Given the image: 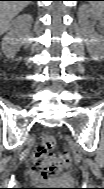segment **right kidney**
Instances as JSON below:
<instances>
[{
    "mask_svg": "<svg viewBox=\"0 0 104 189\" xmlns=\"http://www.w3.org/2000/svg\"><path fill=\"white\" fill-rule=\"evenodd\" d=\"M30 15H23L15 20L10 32H8L1 43L3 53L10 58H13L20 46L23 44V33L25 27L31 21Z\"/></svg>",
    "mask_w": 104,
    "mask_h": 189,
    "instance_id": "ca27d5eb",
    "label": "right kidney"
}]
</instances>
